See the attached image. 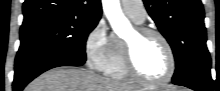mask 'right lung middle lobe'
<instances>
[{
	"mask_svg": "<svg viewBox=\"0 0 220 91\" xmlns=\"http://www.w3.org/2000/svg\"><path fill=\"white\" fill-rule=\"evenodd\" d=\"M98 22L99 19L62 15L23 23L18 53L56 49L86 59L85 43Z\"/></svg>",
	"mask_w": 220,
	"mask_h": 91,
	"instance_id": "dd1d6c3e",
	"label": "right lung middle lobe"
}]
</instances>
